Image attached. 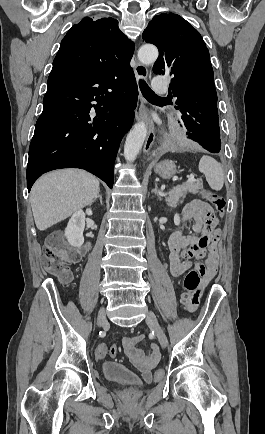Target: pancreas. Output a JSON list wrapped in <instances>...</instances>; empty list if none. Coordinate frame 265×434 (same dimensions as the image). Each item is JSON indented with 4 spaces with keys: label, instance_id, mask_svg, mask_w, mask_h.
<instances>
[{
    "label": "pancreas",
    "instance_id": "cf45deb5",
    "mask_svg": "<svg viewBox=\"0 0 265 434\" xmlns=\"http://www.w3.org/2000/svg\"><path fill=\"white\" fill-rule=\"evenodd\" d=\"M203 186L200 182H190V184H183V186H177L176 190L170 192L168 198H166V202H168V206L171 208H176L177 204L181 202V198H186L187 192H191V194H198L199 190H202Z\"/></svg>",
    "mask_w": 265,
    "mask_h": 434
}]
</instances>
